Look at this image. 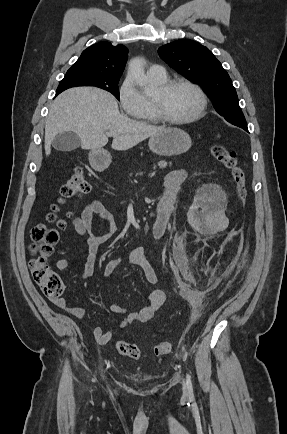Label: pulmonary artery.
I'll list each match as a JSON object with an SVG mask.
<instances>
[{
    "label": "pulmonary artery",
    "instance_id": "obj_1",
    "mask_svg": "<svg viewBox=\"0 0 287 434\" xmlns=\"http://www.w3.org/2000/svg\"><path fill=\"white\" fill-rule=\"evenodd\" d=\"M148 74L154 79H164L167 76L165 69L158 64L150 66L148 69Z\"/></svg>",
    "mask_w": 287,
    "mask_h": 434
}]
</instances>
